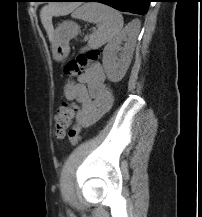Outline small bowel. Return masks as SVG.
Masks as SVG:
<instances>
[{
    "instance_id": "c3829d8e",
    "label": "small bowel",
    "mask_w": 202,
    "mask_h": 217,
    "mask_svg": "<svg viewBox=\"0 0 202 217\" xmlns=\"http://www.w3.org/2000/svg\"><path fill=\"white\" fill-rule=\"evenodd\" d=\"M65 96L77 103V121L83 127L97 122L110 108L112 97L100 64H93L77 81L67 82Z\"/></svg>"
}]
</instances>
